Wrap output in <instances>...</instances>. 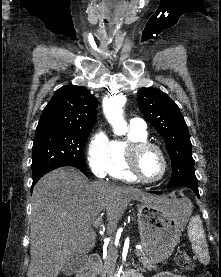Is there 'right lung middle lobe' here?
<instances>
[{"instance_id": "obj_1", "label": "right lung middle lobe", "mask_w": 221, "mask_h": 277, "mask_svg": "<svg viewBox=\"0 0 221 277\" xmlns=\"http://www.w3.org/2000/svg\"><path fill=\"white\" fill-rule=\"evenodd\" d=\"M92 128L36 129L33 144V179L63 166H73L88 175L83 147Z\"/></svg>"}]
</instances>
